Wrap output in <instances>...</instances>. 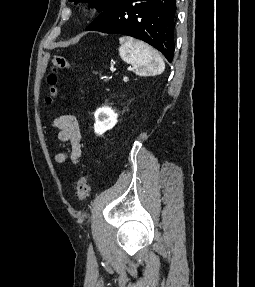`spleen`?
<instances>
[{
    "mask_svg": "<svg viewBox=\"0 0 255 287\" xmlns=\"http://www.w3.org/2000/svg\"><path fill=\"white\" fill-rule=\"evenodd\" d=\"M120 56L127 64H132L137 72H148L149 76L162 74L165 64L158 52L134 38H120Z\"/></svg>",
    "mask_w": 255,
    "mask_h": 287,
    "instance_id": "spleen-1",
    "label": "spleen"
}]
</instances>
